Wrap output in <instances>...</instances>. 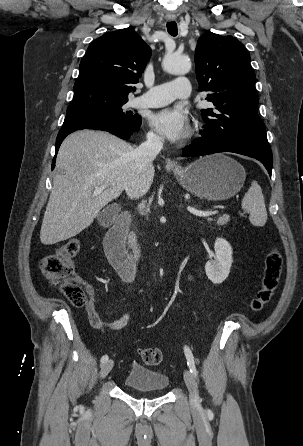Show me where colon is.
Masks as SVG:
<instances>
[{
    "mask_svg": "<svg viewBox=\"0 0 303 446\" xmlns=\"http://www.w3.org/2000/svg\"><path fill=\"white\" fill-rule=\"evenodd\" d=\"M80 251V242L69 239L62 243L57 250L41 258L39 268L42 275L51 283L59 285L63 296L75 306H83L87 296L80 284L75 280L73 258ZM283 259L280 251L271 249L265 258L263 276L260 289L249 303V310L260 311L272 298L276 290L282 271ZM144 364L157 366L162 362V352L158 348H146L140 351Z\"/></svg>",
    "mask_w": 303,
    "mask_h": 446,
    "instance_id": "colon-1",
    "label": "colon"
}]
</instances>
